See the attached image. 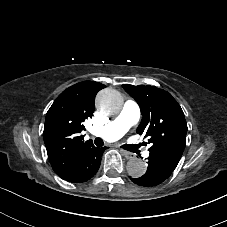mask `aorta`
Listing matches in <instances>:
<instances>
[{
	"label": "aorta",
	"instance_id": "aorta-1",
	"mask_svg": "<svg viewBox=\"0 0 227 227\" xmlns=\"http://www.w3.org/2000/svg\"><path fill=\"white\" fill-rule=\"evenodd\" d=\"M96 105L102 114L115 115L123 107V98L114 89H104L97 95ZM146 170V163L141 159L132 158L127 162V172L131 177L139 178L146 173Z\"/></svg>",
	"mask_w": 227,
	"mask_h": 227
}]
</instances>
